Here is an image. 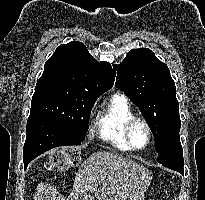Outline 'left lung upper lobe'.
Instances as JSON below:
<instances>
[{
  "label": "left lung upper lobe",
  "instance_id": "5c2ea615",
  "mask_svg": "<svg viewBox=\"0 0 205 200\" xmlns=\"http://www.w3.org/2000/svg\"><path fill=\"white\" fill-rule=\"evenodd\" d=\"M116 86L136 104L155 139L156 152L166 144L170 125L180 119L175 83L166 64L147 48L131 50L119 65Z\"/></svg>",
  "mask_w": 205,
  "mask_h": 200
}]
</instances>
